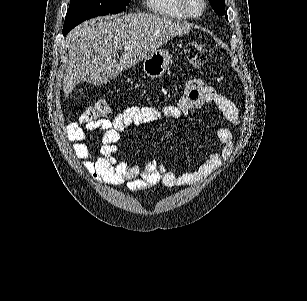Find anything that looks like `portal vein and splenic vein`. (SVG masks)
I'll return each instance as SVG.
<instances>
[{
  "label": "portal vein and splenic vein",
  "mask_w": 307,
  "mask_h": 301,
  "mask_svg": "<svg viewBox=\"0 0 307 301\" xmlns=\"http://www.w3.org/2000/svg\"><path fill=\"white\" fill-rule=\"evenodd\" d=\"M128 48H130V46H124V50H128Z\"/></svg>",
  "instance_id": "1"
}]
</instances>
